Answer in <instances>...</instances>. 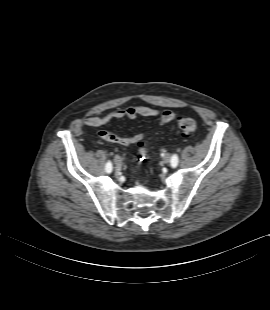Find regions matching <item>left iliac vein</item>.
<instances>
[{"label": "left iliac vein", "instance_id": "left-iliac-vein-1", "mask_svg": "<svg viewBox=\"0 0 270 310\" xmlns=\"http://www.w3.org/2000/svg\"><path fill=\"white\" fill-rule=\"evenodd\" d=\"M163 161L165 163H170L171 162V155L170 154H166L163 158Z\"/></svg>", "mask_w": 270, "mask_h": 310}]
</instances>
